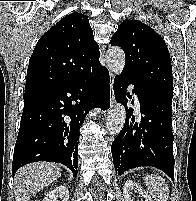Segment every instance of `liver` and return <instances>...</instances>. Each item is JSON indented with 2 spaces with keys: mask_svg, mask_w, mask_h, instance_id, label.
Returning a JSON list of instances; mask_svg holds the SVG:
<instances>
[{
  "mask_svg": "<svg viewBox=\"0 0 196 201\" xmlns=\"http://www.w3.org/2000/svg\"><path fill=\"white\" fill-rule=\"evenodd\" d=\"M60 176L61 169L55 163L34 162L21 167L14 178L15 201H29Z\"/></svg>",
  "mask_w": 196,
  "mask_h": 201,
  "instance_id": "liver-1",
  "label": "liver"
}]
</instances>
